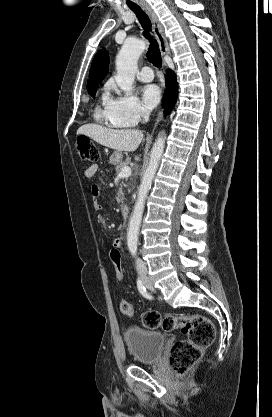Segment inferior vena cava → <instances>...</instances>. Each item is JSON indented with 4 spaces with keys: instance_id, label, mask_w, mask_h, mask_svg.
<instances>
[{
    "instance_id": "602c4592",
    "label": "inferior vena cava",
    "mask_w": 272,
    "mask_h": 417,
    "mask_svg": "<svg viewBox=\"0 0 272 417\" xmlns=\"http://www.w3.org/2000/svg\"><path fill=\"white\" fill-rule=\"evenodd\" d=\"M141 115H142L145 122H147L149 120V116H150L149 111L143 109L141 111ZM136 268H137V271L139 272V274H143V273L147 272V267H146L145 263L140 258H137V260H136Z\"/></svg>"
}]
</instances>
